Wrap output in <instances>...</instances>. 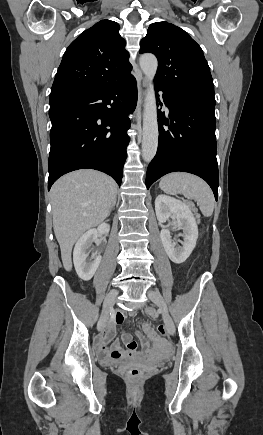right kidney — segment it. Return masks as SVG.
<instances>
[{
  "instance_id": "1",
  "label": "right kidney",
  "mask_w": 263,
  "mask_h": 435,
  "mask_svg": "<svg viewBox=\"0 0 263 435\" xmlns=\"http://www.w3.org/2000/svg\"><path fill=\"white\" fill-rule=\"evenodd\" d=\"M109 230V224L102 223L97 228L88 230L76 242L73 261L75 270L82 280L89 281L94 276L101 262V255L98 251L92 252L90 259L88 258L90 255V251H88L89 247L98 237L108 234Z\"/></svg>"
}]
</instances>
